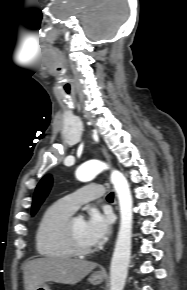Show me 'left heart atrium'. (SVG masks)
<instances>
[{"label":"left heart atrium","mask_w":187,"mask_h":290,"mask_svg":"<svg viewBox=\"0 0 187 290\" xmlns=\"http://www.w3.org/2000/svg\"><path fill=\"white\" fill-rule=\"evenodd\" d=\"M111 224L110 215H104L97 209H91L85 221L86 235L89 241L93 245L102 243L111 232Z\"/></svg>","instance_id":"left-heart-atrium-1"}]
</instances>
